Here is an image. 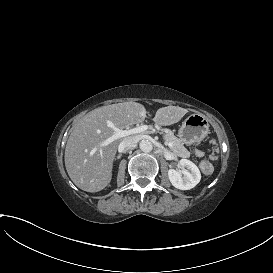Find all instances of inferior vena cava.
I'll use <instances>...</instances> for the list:
<instances>
[{
    "label": "inferior vena cava",
    "mask_w": 273,
    "mask_h": 273,
    "mask_svg": "<svg viewBox=\"0 0 273 273\" xmlns=\"http://www.w3.org/2000/svg\"><path fill=\"white\" fill-rule=\"evenodd\" d=\"M139 142V139L137 136H131L125 138L121 144H120V150L125 151L130 149L131 147H135Z\"/></svg>",
    "instance_id": "inferior-vena-cava-1"
}]
</instances>
